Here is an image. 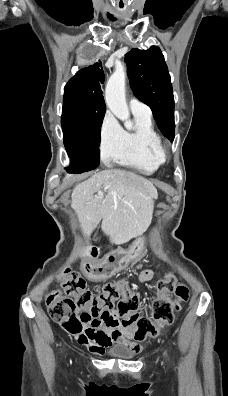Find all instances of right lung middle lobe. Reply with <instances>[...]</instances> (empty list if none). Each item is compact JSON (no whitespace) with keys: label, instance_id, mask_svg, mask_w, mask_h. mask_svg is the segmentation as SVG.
<instances>
[{"label":"right lung middle lobe","instance_id":"obj_1","mask_svg":"<svg viewBox=\"0 0 228 396\" xmlns=\"http://www.w3.org/2000/svg\"><path fill=\"white\" fill-rule=\"evenodd\" d=\"M105 110L86 111L63 100L61 124L64 145L70 157L69 173L95 169L100 162V131Z\"/></svg>","mask_w":228,"mask_h":396}]
</instances>
